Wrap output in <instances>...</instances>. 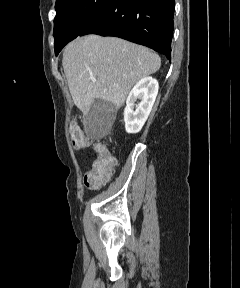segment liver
<instances>
[{"instance_id":"liver-1","label":"liver","mask_w":240,"mask_h":288,"mask_svg":"<svg viewBox=\"0 0 240 288\" xmlns=\"http://www.w3.org/2000/svg\"><path fill=\"white\" fill-rule=\"evenodd\" d=\"M62 65L73 102L86 115L95 99L120 108L136 82L159 70L161 58L117 37L87 35L67 45Z\"/></svg>"}]
</instances>
